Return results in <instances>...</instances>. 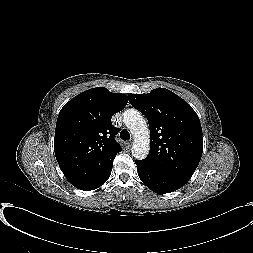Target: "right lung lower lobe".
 <instances>
[{
  "instance_id": "right-lung-lower-lobe-1",
  "label": "right lung lower lobe",
  "mask_w": 253,
  "mask_h": 253,
  "mask_svg": "<svg viewBox=\"0 0 253 253\" xmlns=\"http://www.w3.org/2000/svg\"><path fill=\"white\" fill-rule=\"evenodd\" d=\"M113 164L103 173L85 182L74 184L78 189L90 191L99 188L103 185L110 177Z\"/></svg>"
}]
</instances>
